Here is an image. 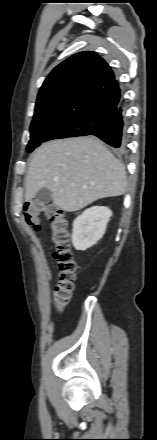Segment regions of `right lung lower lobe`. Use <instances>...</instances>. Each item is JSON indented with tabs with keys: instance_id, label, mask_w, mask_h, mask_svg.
I'll return each instance as SVG.
<instances>
[{
	"instance_id": "98d812e1",
	"label": "right lung lower lobe",
	"mask_w": 157,
	"mask_h": 440,
	"mask_svg": "<svg viewBox=\"0 0 157 440\" xmlns=\"http://www.w3.org/2000/svg\"><path fill=\"white\" fill-rule=\"evenodd\" d=\"M89 135H94L119 150L126 144V120L123 101L113 110L101 113L87 125Z\"/></svg>"
}]
</instances>
